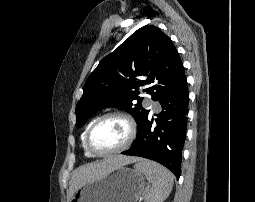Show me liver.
I'll list each match as a JSON object with an SVG mask.
<instances>
[{"instance_id": "1", "label": "liver", "mask_w": 255, "mask_h": 202, "mask_svg": "<svg viewBox=\"0 0 255 202\" xmlns=\"http://www.w3.org/2000/svg\"><path fill=\"white\" fill-rule=\"evenodd\" d=\"M138 160L139 159L136 157L115 155L77 168L72 174L69 183V198L73 196L75 191L84 183L101 177L118 167L134 163Z\"/></svg>"}]
</instances>
